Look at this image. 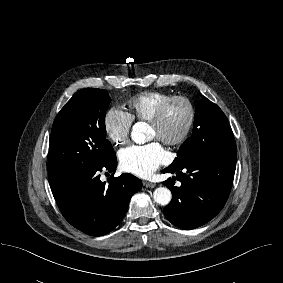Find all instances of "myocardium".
Wrapping results in <instances>:
<instances>
[{
  "label": "myocardium",
  "mask_w": 283,
  "mask_h": 283,
  "mask_svg": "<svg viewBox=\"0 0 283 283\" xmlns=\"http://www.w3.org/2000/svg\"><path fill=\"white\" fill-rule=\"evenodd\" d=\"M178 102L184 104L187 109V121L183 130L178 136L174 138H162L160 140L164 144L170 146L180 145L189 137L196 121V108L193 101L184 95H171L159 105L153 117L148 121L152 127L160 130L169 108L171 105Z\"/></svg>",
  "instance_id": "f54148a6"
}]
</instances>
